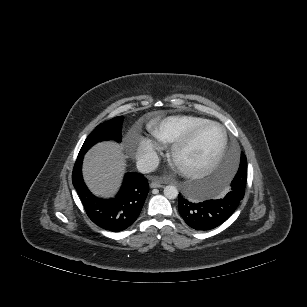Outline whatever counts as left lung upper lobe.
<instances>
[{"instance_id": "5c2ea615", "label": "left lung upper lobe", "mask_w": 307, "mask_h": 307, "mask_svg": "<svg viewBox=\"0 0 307 307\" xmlns=\"http://www.w3.org/2000/svg\"><path fill=\"white\" fill-rule=\"evenodd\" d=\"M241 164L239 165V169H238V172L237 174L235 175L232 183L235 184V183H239L240 185V188L245 190V185H246V181H247V168H241ZM231 183V184H232Z\"/></svg>"}]
</instances>
